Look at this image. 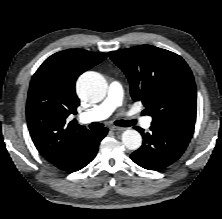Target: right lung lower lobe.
I'll return each mask as SVG.
<instances>
[{
	"instance_id": "obj_1",
	"label": "right lung lower lobe",
	"mask_w": 222,
	"mask_h": 219,
	"mask_svg": "<svg viewBox=\"0 0 222 219\" xmlns=\"http://www.w3.org/2000/svg\"><path fill=\"white\" fill-rule=\"evenodd\" d=\"M107 128L90 131L80 142L71 159L61 170L68 173L78 171L89 164L96 156L100 141L106 136Z\"/></svg>"
}]
</instances>
